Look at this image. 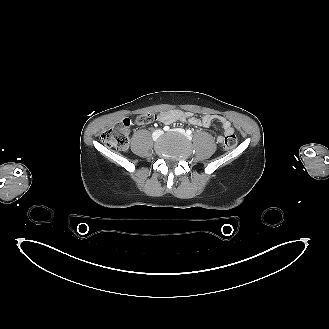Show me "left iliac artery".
Instances as JSON below:
<instances>
[{
    "label": "left iliac artery",
    "instance_id": "1",
    "mask_svg": "<svg viewBox=\"0 0 329 329\" xmlns=\"http://www.w3.org/2000/svg\"><path fill=\"white\" fill-rule=\"evenodd\" d=\"M186 133H187V135H191L192 134V131L190 130V129H188L187 131H186Z\"/></svg>",
    "mask_w": 329,
    "mask_h": 329
}]
</instances>
